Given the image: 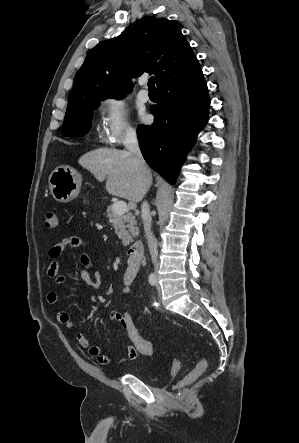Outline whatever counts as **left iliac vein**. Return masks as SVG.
I'll return each instance as SVG.
<instances>
[{"instance_id":"left-iliac-vein-1","label":"left iliac vein","mask_w":299,"mask_h":443,"mask_svg":"<svg viewBox=\"0 0 299 443\" xmlns=\"http://www.w3.org/2000/svg\"><path fill=\"white\" fill-rule=\"evenodd\" d=\"M156 288H157V292H158V296L161 297V288L160 285L158 283H156Z\"/></svg>"}]
</instances>
